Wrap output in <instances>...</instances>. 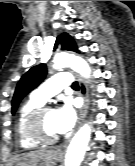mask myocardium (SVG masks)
<instances>
[{"label": "myocardium", "mask_w": 135, "mask_h": 166, "mask_svg": "<svg viewBox=\"0 0 135 166\" xmlns=\"http://www.w3.org/2000/svg\"><path fill=\"white\" fill-rule=\"evenodd\" d=\"M50 111H53V108L51 106L42 105L29 112L25 118L24 121L25 134L30 139L38 142L39 144H44V145L54 144L59 139V135L52 137L47 136L42 128V119L44 115Z\"/></svg>", "instance_id": "myocardium-1"}]
</instances>
